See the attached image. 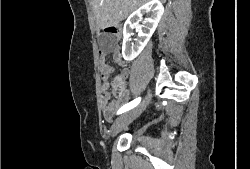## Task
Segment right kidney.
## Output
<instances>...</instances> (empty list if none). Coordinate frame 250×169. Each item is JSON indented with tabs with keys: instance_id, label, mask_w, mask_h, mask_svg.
<instances>
[{
	"instance_id": "ca27d5eb",
	"label": "right kidney",
	"mask_w": 250,
	"mask_h": 169,
	"mask_svg": "<svg viewBox=\"0 0 250 169\" xmlns=\"http://www.w3.org/2000/svg\"><path fill=\"white\" fill-rule=\"evenodd\" d=\"M145 12H151L149 18H144V24H138L140 18H142ZM164 12V6L160 0H149L146 4H142L140 8L134 10L123 26V44H122V56L125 60H133L144 46H146L148 40H150L158 22ZM146 24V26H145ZM144 26V28H143ZM133 28H137L138 38L136 42H130L133 34Z\"/></svg>"
}]
</instances>
